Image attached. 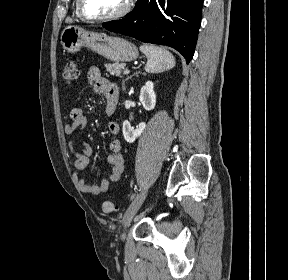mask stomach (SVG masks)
Instances as JSON below:
<instances>
[{"label":"stomach","instance_id":"obj_1","mask_svg":"<svg viewBox=\"0 0 288 280\" xmlns=\"http://www.w3.org/2000/svg\"><path fill=\"white\" fill-rule=\"evenodd\" d=\"M60 39L69 53L78 52L84 46L115 63L132 61L139 55L137 47L121 37L86 31L78 26H66Z\"/></svg>","mask_w":288,"mask_h":280}]
</instances>
